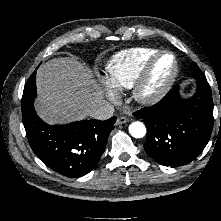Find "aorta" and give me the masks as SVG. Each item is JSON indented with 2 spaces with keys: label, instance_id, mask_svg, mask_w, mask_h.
I'll list each match as a JSON object with an SVG mask.
<instances>
[{
  "label": "aorta",
  "instance_id": "aorta-1",
  "mask_svg": "<svg viewBox=\"0 0 221 221\" xmlns=\"http://www.w3.org/2000/svg\"><path fill=\"white\" fill-rule=\"evenodd\" d=\"M129 133L134 138H142L146 134V127L142 122L135 121L129 125Z\"/></svg>",
  "mask_w": 221,
  "mask_h": 221
}]
</instances>
